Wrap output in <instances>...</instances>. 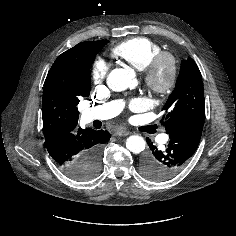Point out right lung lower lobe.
I'll return each mask as SVG.
<instances>
[{"mask_svg": "<svg viewBox=\"0 0 236 236\" xmlns=\"http://www.w3.org/2000/svg\"><path fill=\"white\" fill-rule=\"evenodd\" d=\"M110 139L108 131L91 128L45 140L48 153L70 178L80 175L81 166L90 154H99L102 144ZM78 180L76 178H72Z\"/></svg>", "mask_w": 236, "mask_h": 236, "instance_id": "98d812e1", "label": "right lung lower lobe"}]
</instances>
